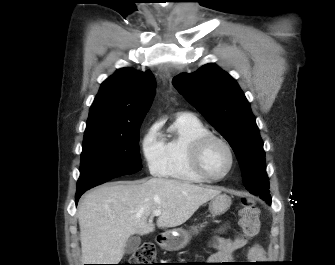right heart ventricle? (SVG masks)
Wrapping results in <instances>:
<instances>
[{
	"instance_id": "e07e8e85",
	"label": "right heart ventricle",
	"mask_w": 335,
	"mask_h": 265,
	"mask_svg": "<svg viewBox=\"0 0 335 265\" xmlns=\"http://www.w3.org/2000/svg\"><path fill=\"white\" fill-rule=\"evenodd\" d=\"M210 133L208 128L195 116L180 114L163 139L165 170L163 175L186 183L199 184L206 180L200 177L190 162L191 147L196 139Z\"/></svg>"
}]
</instances>
